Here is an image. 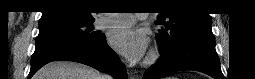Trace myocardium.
Returning <instances> with one entry per match:
<instances>
[{"instance_id": "1", "label": "myocardium", "mask_w": 255, "mask_h": 79, "mask_svg": "<svg viewBox=\"0 0 255 79\" xmlns=\"http://www.w3.org/2000/svg\"><path fill=\"white\" fill-rule=\"evenodd\" d=\"M159 56H160V54H159L158 50L153 49L149 53L147 59L145 60V64L146 65H153V64H155L158 61Z\"/></svg>"}]
</instances>
